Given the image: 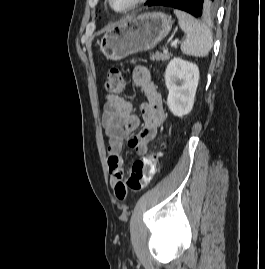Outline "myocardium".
<instances>
[{"label": "myocardium", "instance_id": "obj_1", "mask_svg": "<svg viewBox=\"0 0 265 269\" xmlns=\"http://www.w3.org/2000/svg\"><path fill=\"white\" fill-rule=\"evenodd\" d=\"M144 2H146V0H132L126 7L121 8V9H117L113 5V0H108V4H109L110 8L117 13H126L129 11H132L133 9L137 8L138 6L143 4Z\"/></svg>", "mask_w": 265, "mask_h": 269}]
</instances>
